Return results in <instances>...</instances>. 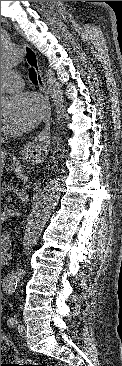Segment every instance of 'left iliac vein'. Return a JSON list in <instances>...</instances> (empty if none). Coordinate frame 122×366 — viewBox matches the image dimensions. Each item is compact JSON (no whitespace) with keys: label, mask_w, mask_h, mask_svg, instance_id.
Listing matches in <instances>:
<instances>
[{"label":"left iliac vein","mask_w":122,"mask_h":366,"mask_svg":"<svg viewBox=\"0 0 122 366\" xmlns=\"http://www.w3.org/2000/svg\"><path fill=\"white\" fill-rule=\"evenodd\" d=\"M17 328H18V332L20 333V335L21 336H24L25 333H26V327H25V325L19 324Z\"/></svg>","instance_id":"4c4485c4"}]
</instances>
